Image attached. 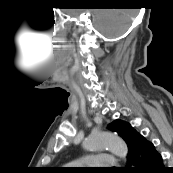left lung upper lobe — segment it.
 <instances>
[{
  "label": "left lung upper lobe",
  "instance_id": "obj_1",
  "mask_svg": "<svg viewBox=\"0 0 173 173\" xmlns=\"http://www.w3.org/2000/svg\"><path fill=\"white\" fill-rule=\"evenodd\" d=\"M108 127L124 139L130 150L134 137L138 132L129 123L120 120L112 122Z\"/></svg>",
  "mask_w": 173,
  "mask_h": 173
}]
</instances>
